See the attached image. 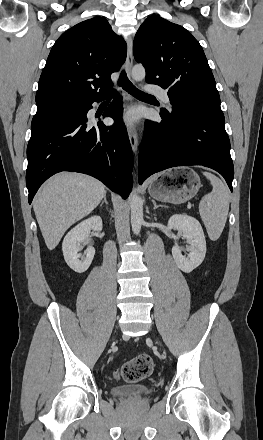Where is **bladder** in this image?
I'll use <instances>...</instances> for the list:
<instances>
[{"mask_svg": "<svg viewBox=\"0 0 263 440\" xmlns=\"http://www.w3.org/2000/svg\"><path fill=\"white\" fill-rule=\"evenodd\" d=\"M110 394L116 399L143 398L150 395V391L143 386L123 385L115 386L110 389Z\"/></svg>", "mask_w": 263, "mask_h": 440, "instance_id": "1", "label": "bladder"}]
</instances>
